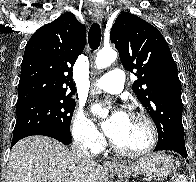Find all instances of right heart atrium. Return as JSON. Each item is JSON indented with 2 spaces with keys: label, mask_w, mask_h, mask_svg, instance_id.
I'll use <instances>...</instances> for the list:
<instances>
[{
  "label": "right heart atrium",
  "mask_w": 196,
  "mask_h": 182,
  "mask_svg": "<svg viewBox=\"0 0 196 182\" xmlns=\"http://www.w3.org/2000/svg\"><path fill=\"white\" fill-rule=\"evenodd\" d=\"M71 131L74 140L82 147L91 151L102 148L103 136L93 120L83 110H79L75 115Z\"/></svg>",
  "instance_id": "right-heart-atrium-1"
}]
</instances>
